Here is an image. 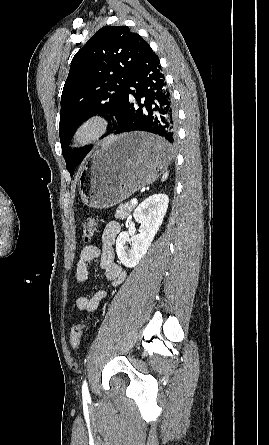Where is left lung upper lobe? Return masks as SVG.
<instances>
[{"instance_id": "obj_1", "label": "left lung upper lobe", "mask_w": 269, "mask_h": 445, "mask_svg": "<svg viewBox=\"0 0 269 445\" xmlns=\"http://www.w3.org/2000/svg\"><path fill=\"white\" fill-rule=\"evenodd\" d=\"M149 44L127 26L99 29L73 57L61 96L59 136L73 176L90 148L69 147L77 127L97 113L120 119L128 81Z\"/></svg>"}]
</instances>
